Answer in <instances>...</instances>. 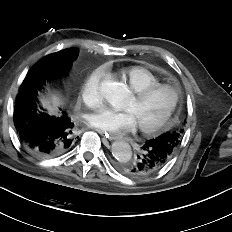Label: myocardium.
<instances>
[{"mask_svg":"<svg viewBox=\"0 0 232 232\" xmlns=\"http://www.w3.org/2000/svg\"><path fill=\"white\" fill-rule=\"evenodd\" d=\"M159 90H169L173 95L172 102L166 113L158 121L149 125H138L139 130L144 134H154L167 126L178 107L180 91L177 87L171 84L158 83L133 92V97L138 101H142Z\"/></svg>","mask_w":232,"mask_h":232,"instance_id":"obj_1","label":"myocardium"}]
</instances>
